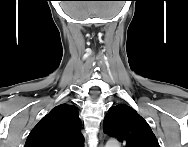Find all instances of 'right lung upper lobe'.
<instances>
[{
  "label": "right lung upper lobe",
  "instance_id": "obj_1",
  "mask_svg": "<svg viewBox=\"0 0 188 147\" xmlns=\"http://www.w3.org/2000/svg\"><path fill=\"white\" fill-rule=\"evenodd\" d=\"M81 128L77 107L60 104L32 129L25 147H83Z\"/></svg>",
  "mask_w": 188,
  "mask_h": 147
}]
</instances>
